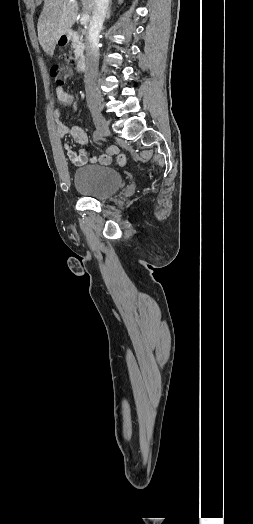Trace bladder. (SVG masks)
Listing matches in <instances>:
<instances>
[{"instance_id": "31cf9c89", "label": "bladder", "mask_w": 253, "mask_h": 524, "mask_svg": "<svg viewBox=\"0 0 253 524\" xmlns=\"http://www.w3.org/2000/svg\"><path fill=\"white\" fill-rule=\"evenodd\" d=\"M124 185L122 174L114 168L88 165L74 173V186L85 197L103 201L116 195Z\"/></svg>"}]
</instances>
